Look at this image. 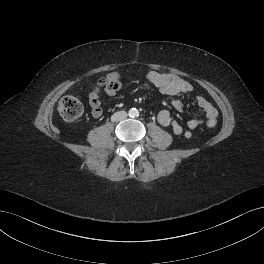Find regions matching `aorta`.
I'll return each mask as SVG.
<instances>
[{
    "label": "aorta",
    "instance_id": "1",
    "mask_svg": "<svg viewBox=\"0 0 264 264\" xmlns=\"http://www.w3.org/2000/svg\"><path fill=\"white\" fill-rule=\"evenodd\" d=\"M129 115H130L131 117H136V116L139 115V111H138L136 108H132V109H130V111H129Z\"/></svg>",
    "mask_w": 264,
    "mask_h": 264
}]
</instances>
